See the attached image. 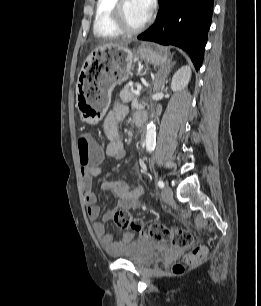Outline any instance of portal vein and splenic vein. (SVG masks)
<instances>
[{"label": "portal vein and splenic vein", "instance_id": "portal-vein-and-splenic-vein-1", "mask_svg": "<svg viewBox=\"0 0 261 306\" xmlns=\"http://www.w3.org/2000/svg\"><path fill=\"white\" fill-rule=\"evenodd\" d=\"M142 89V86L141 85H137V91H136V97L133 99L132 101V107H136L138 105V101H137V97L140 95V91Z\"/></svg>", "mask_w": 261, "mask_h": 306}]
</instances>
